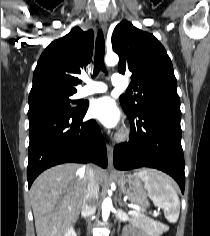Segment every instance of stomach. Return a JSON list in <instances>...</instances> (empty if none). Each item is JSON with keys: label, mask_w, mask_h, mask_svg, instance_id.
<instances>
[{"label": "stomach", "mask_w": 210, "mask_h": 236, "mask_svg": "<svg viewBox=\"0 0 210 236\" xmlns=\"http://www.w3.org/2000/svg\"><path fill=\"white\" fill-rule=\"evenodd\" d=\"M115 179L122 193L130 199V201L142 208L146 207L148 193L143 186L142 179L137 175L119 174Z\"/></svg>", "instance_id": "1"}]
</instances>
